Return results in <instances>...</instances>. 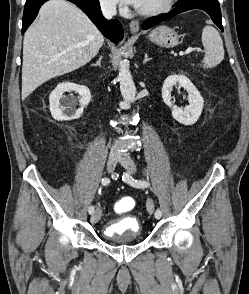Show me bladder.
<instances>
[{"instance_id":"31cf9c89","label":"bladder","mask_w":249,"mask_h":294,"mask_svg":"<svg viewBox=\"0 0 249 294\" xmlns=\"http://www.w3.org/2000/svg\"><path fill=\"white\" fill-rule=\"evenodd\" d=\"M142 232L141 224L132 217L116 219L107 224L104 230V238L113 240L118 238L139 239Z\"/></svg>"}]
</instances>
